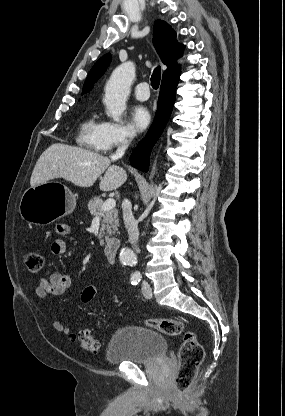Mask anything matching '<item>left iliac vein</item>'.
<instances>
[{
  "label": "left iliac vein",
  "instance_id": "left-iliac-vein-1",
  "mask_svg": "<svg viewBox=\"0 0 285 416\" xmlns=\"http://www.w3.org/2000/svg\"><path fill=\"white\" fill-rule=\"evenodd\" d=\"M142 293L148 299L152 297V290L147 282L142 283Z\"/></svg>",
  "mask_w": 285,
  "mask_h": 416
}]
</instances>
